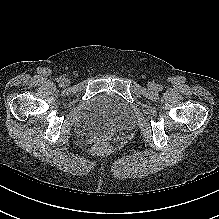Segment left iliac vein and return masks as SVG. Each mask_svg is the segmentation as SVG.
I'll use <instances>...</instances> for the list:
<instances>
[{
	"mask_svg": "<svg viewBox=\"0 0 219 219\" xmlns=\"http://www.w3.org/2000/svg\"><path fill=\"white\" fill-rule=\"evenodd\" d=\"M148 88L152 91L157 89V85L154 82H149L148 83Z\"/></svg>",
	"mask_w": 219,
	"mask_h": 219,
	"instance_id": "4c4485c4",
	"label": "left iliac vein"
}]
</instances>
